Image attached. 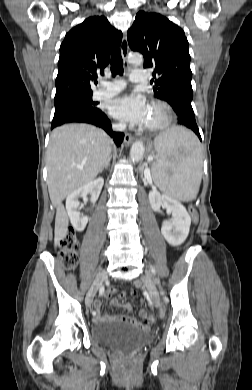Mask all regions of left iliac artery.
Segmentation results:
<instances>
[{
  "instance_id": "obj_1",
  "label": "left iliac artery",
  "mask_w": 252,
  "mask_h": 390,
  "mask_svg": "<svg viewBox=\"0 0 252 390\" xmlns=\"http://www.w3.org/2000/svg\"><path fill=\"white\" fill-rule=\"evenodd\" d=\"M152 272H153V273L155 272L154 268H152Z\"/></svg>"
}]
</instances>
